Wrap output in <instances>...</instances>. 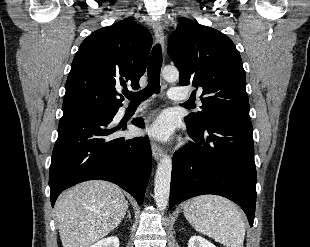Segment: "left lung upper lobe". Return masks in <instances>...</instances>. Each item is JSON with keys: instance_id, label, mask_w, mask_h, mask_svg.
Returning a JSON list of instances; mask_svg holds the SVG:
<instances>
[{"instance_id": "obj_1", "label": "left lung upper lobe", "mask_w": 310, "mask_h": 247, "mask_svg": "<svg viewBox=\"0 0 310 247\" xmlns=\"http://www.w3.org/2000/svg\"><path fill=\"white\" fill-rule=\"evenodd\" d=\"M168 54L180 72V85H193L200 94L201 111L185 122L200 130L219 119L249 121L245 71L228 36L184 20L170 37Z\"/></svg>"}]
</instances>
